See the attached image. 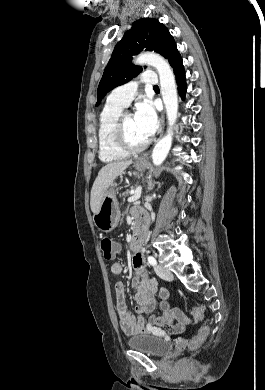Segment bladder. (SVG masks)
<instances>
[{
  "mask_svg": "<svg viewBox=\"0 0 265 390\" xmlns=\"http://www.w3.org/2000/svg\"><path fill=\"white\" fill-rule=\"evenodd\" d=\"M128 346L151 356H162L169 352L172 345L162 337L141 334L128 339Z\"/></svg>",
  "mask_w": 265,
  "mask_h": 390,
  "instance_id": "31cf9c89",
  "label": "bladder"
}]
</instances>
